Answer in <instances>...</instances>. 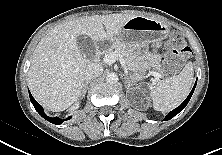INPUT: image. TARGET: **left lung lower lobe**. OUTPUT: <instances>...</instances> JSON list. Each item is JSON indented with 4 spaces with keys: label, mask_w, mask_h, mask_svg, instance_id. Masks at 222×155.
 <instances>
[{
    "label": "left lung lower lobe",
    "mask_w": 222,
    "mask_h": 155,
    "mask_svg": "<svg viewBox=\"0 0 222 155\" xmlns=\"http://www.w3.org/2000/svg\"><path fill=\"white\" fill-rule=\"evenodd\" d=\"M196 87V83L192 89V91L190 92L189 96L186 98V100L179 106L177 107L176 109H174L173 111H171L168 115H166V117L164 118V121H167L171 118H173L174 116H176L181 110H183L185 108V106L188 104L193 92H194V89Z\"/></svg>",
    "instance_id": "0a47b994"
}]
</instances>
